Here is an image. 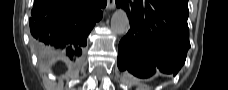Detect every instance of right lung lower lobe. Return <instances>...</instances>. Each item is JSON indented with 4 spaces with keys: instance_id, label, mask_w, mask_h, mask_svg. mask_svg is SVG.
Instances as JSON below:
<instances>
[{
    "instance_id": "1",
    "label": "right lung lower lobe",
    "mask_w": 228,
    "mask_h": 90,
    "mask_svg": "<svg viewBox=\"0 0 228 90\" xmlns=\"http://www.w3.org/2000/svg\"><path fill=\"white\" fill-rule=\"evenodd\" d=\"M105 6L106 0H34L31 36L74 60L82 55L88 34L102 17L100 8Z\"/></svg>"
}]
</instances>
